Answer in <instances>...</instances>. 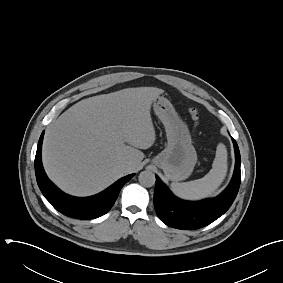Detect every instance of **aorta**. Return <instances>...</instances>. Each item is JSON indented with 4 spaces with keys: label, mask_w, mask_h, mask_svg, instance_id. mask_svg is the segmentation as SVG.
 I'll use <instances>...</instances> for the list:
<instances>
[{
    "label": "aorta",
    "mask_w": 283,
    "mask_h": 283,
    "mask_svg": "<svg viewBox=\"0 0 283 283\" xmlns=\"http://www.w3.org/2000/svg\"><path fill=\"white\" fill-rule=\"evenodd\" d=\"M139 183L144 187H152L155 184V175L151 171H142L139 174Z\"/></svg>",
    "instance_id": "aorta-1"
}]
</instances>
